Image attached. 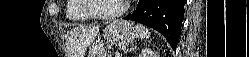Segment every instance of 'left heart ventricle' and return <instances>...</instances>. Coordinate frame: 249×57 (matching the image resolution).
<instances>
[{"label": "left heart ventricle", "mask_w": 249, "mask_h": 57, "mask_svg": "<svg viewBox=\"0 0 249 57\" xmlns=\"http://www.w3.org/2000/svg\"><path fill=\"white\" fill-rule=\"evenodd\" d=\"M123 2V0H94L93 11L100 14L115 13L121 9Z\"/></svg>", "instance_id": "1"}]
</instances>
